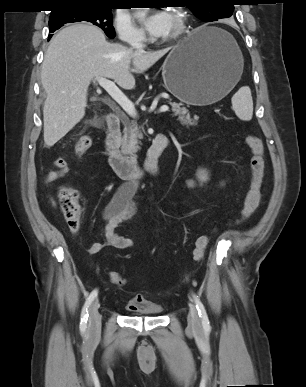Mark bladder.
<instances>
[{"label": "bladder", "mask_w": 306, "mask_h": 387, "mask_svg": "<svg viewBox=\"0 0 306 387\" xmlns=\"http://www.w3.org/2000/svg\"><path fill=\"white\" fill-rule=\"evenodd\" d=\"M129 311L135 315L157 317L163 313V307L157 303L147 302L140 305L137 309Z\"/></svg>", "instance_id": "1"}]
</instances>
